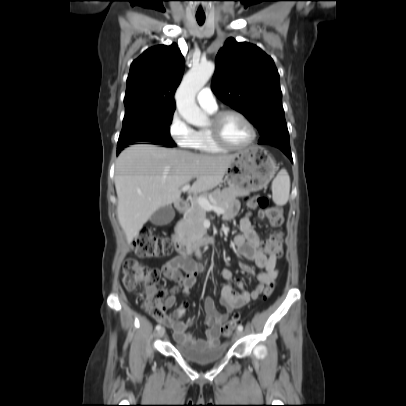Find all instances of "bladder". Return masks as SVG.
<instances>
[{
    "label": "bladder",
    "mask_w": 406,
    "mask_h": 406,
    "mask_svg": "<svg viewBox=\"0 0 406 406\" xmlns=\"http://www.w3.org/2000/svg\"><path fill=\"white\" fill-rule=\"evenodd\" d=\"M176 349L181 356L198 364H207L215 362L227 352L226 345H207L203 347H197L192 345L182 344L176 341Z\"/></svg>",
    "instance_id": "1"
}]
</instances>
